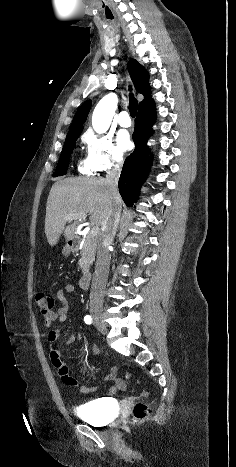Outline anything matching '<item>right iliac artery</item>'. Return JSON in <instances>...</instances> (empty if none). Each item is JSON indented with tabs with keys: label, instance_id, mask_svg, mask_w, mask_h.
<instances>
[{
	"label": "right iliac artery",
	"instance_id": "1",
	"mask_svg": "<svg viewBox=\"0 0 236 467\" xmlns=\"http://www.w3.org/2000/svg\"><path fill=\"white\" fill-rule=\"evenodd\" d=\"M84 321H85L86 324L90 325L92 323V317L90 315H86L84 317Z\"/></svg>",
	"mask_w": 236,
	"mask_h": 467
}]
</instances>
